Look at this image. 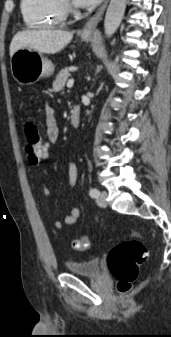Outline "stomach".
<instances>
[{"label": "stomach", "mask_w": 171, "mask_h": 337, "mask_svg": "<svg viewBox=\"0 0 171 337\" xmlns=\"http://www.w3.org/2000/svg\"><path fill=\"white\" fill-rule=\"evenodd\" d=\"M91 35H82V40L89 41ZM11 72L14 79L22 85H30L43 77L54 73L53 63L36 50L18 49L11 57Z\"/></svg>", "instance_id": "stomach-1"}]
</instances>
